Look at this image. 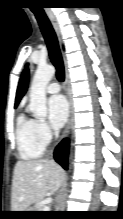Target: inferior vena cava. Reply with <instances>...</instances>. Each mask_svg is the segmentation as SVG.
I'll return each mask as SVG.
<instances>
[{
    "instance_id": "obj_1",
    "label": "inferior vena cava",
    "mask_w": 123,
    "mask_h": 219,
    "mask_svg": "<svg viewBox=\"0 0 123 219\" xmlns=\"http://www.w3.org/2000/svg\"><path fill=\"white\" fill-rule=\"evenodd\" d=\"M55 135H56V137L58 136V131H55Z\"/></svg>"
}]
</instances>
